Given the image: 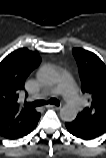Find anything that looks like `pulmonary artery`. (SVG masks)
<instances>
[{"instance_id": "e3ab8cb5", "label": "pulmonary artery", "mask_w": 106, "mask_h": 158, "mask_svg": "<svg viewBox=\"0 0 106 158\" xmlns=\"http://www.w3.org/2000/svg\"><path fill=\"white\" fill-rule=\"evenodd\" d=\"M77 89L76 85L70 78L65 77L63 83L54 89V93H62L67 96L69 99H74L76 95Z\"/></svg>"}]
</instances>
